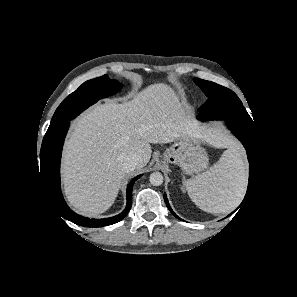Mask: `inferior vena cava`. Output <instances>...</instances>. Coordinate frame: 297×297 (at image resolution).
<instances>
[{
    "instance_id": "1",
    "label": "inferior vena cava",
    "mask_w": 297,
    "mask_h": 297,
    "mask_svg": "<svg viewBox=\"0 0 297 297\" xmlns=\"http://www.w3.org/2000/svg\"><path fill=\"white\" fill-rule=\"evenodd\" d=\"M140 161L141 159L139 155L131 154L125 159L123 163V168L126 172H131L139 165Z\"/></svg>"
}]
</instances>
